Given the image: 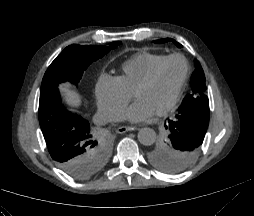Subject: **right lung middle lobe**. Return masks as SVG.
<instances>
[{
	"label": "right lung middle lobe",
	"mask_w": 254,
	"mask_h": 216,
	"mask_svg": "<svg viewBox=\"0 0 254 216\" xmlns=\"http://www.w3.org/2000/svg\"><path fill=\"white\" fill-rule=\"evenodd\" d=\"M119 44H121V42L116 41L112 42L109 47L98 45H70L66 47L48 67L42 80L41 91L47 88H57L60 83L65 81L77 85L84 70H86L91 63L103 57ZM93 134L98 142L96 159L99 162L100 171L109 158V144L96 132ZM75 169L79 170L78 164L75 165ZM80 179H84V177L81 176Z\"/></svg>",
	"instance_id": "right-lung-middle-lobe-1"
}]
</instances>
